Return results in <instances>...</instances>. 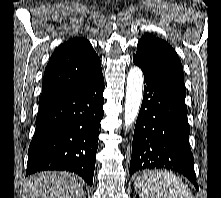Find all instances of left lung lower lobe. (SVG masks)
I'll use <instances>...</instances> for the list:
<instances>
[{
    "instance_id": "left-lung-lower-lobe-1",
    "label": "left lung lower lobe",
    "mask_w": 221,
    "mask_h": 198,
    "mask_svg": "<svg viewBox=\"0 0 221 198\" xmlns=\"http://www.w3.org/2000/svg\"><path fill=\"white\" fill-rule=\"evenodd\" d=\"M133 61L141 67L146 84L134 130L130 175L142 169L167 168L185 175L198 190L185 98Z\"/></svg>"
}]
</instances>
